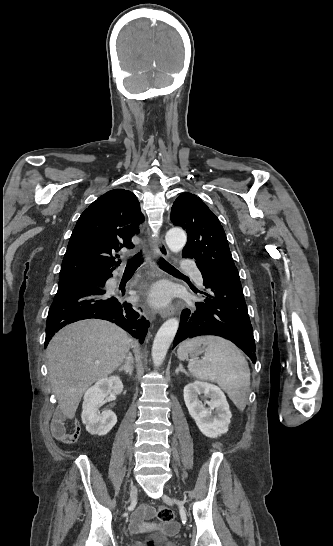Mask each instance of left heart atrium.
Here are the masks:
<instances>
[{"instance_id": "39dd6f15", "label": "left heart atrium", "mask_w": 333, "mask_h": 546, "mask_svg": "<svg viewBox=\"0 0 333 546\" xmlns=\"http://www.w3.org/2000/svg\"><path fill=\"white\" fill-rule=\"evenodd\" d=\"M169 290L168 288L164 287V286H158L154 289L153 291V294H152V297H153V300L158 303V304H164L167 302L168 298H169Z\"/></svg>"}]
</instances>
